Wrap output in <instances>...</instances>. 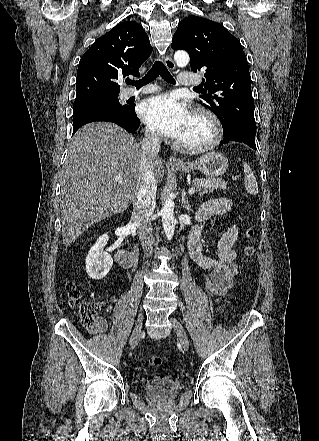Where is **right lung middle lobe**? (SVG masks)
I'll return each mask as SVG.
<instances>
[{
    "label": "right lung middle lobe",
    "instance_id": "dd1d6c3e",
    "mask_svg": "<svg viewBox=\"0 0 319 441\" xmlns=\"http://www.w3.org/2000/svg\"><path fill=\"white\" fill-rule=\"evenodd\" d=\"M129 109V106L121 105L119 103L118 96L93 98L75 101L73 116L93 110H112L122 114H126Z\"/></svg>",
    "mask_w": 319,
    "mask_h": 441
}]
</instances>
